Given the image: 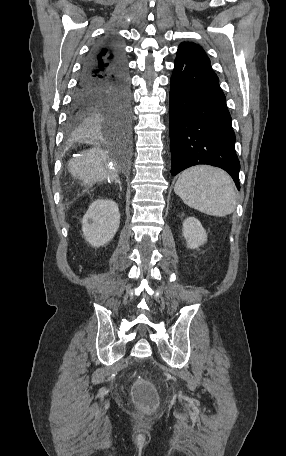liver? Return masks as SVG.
I'll use <instances>...</instances> for the list:
<instances>
[{"mask_svg":"<svg viewBox=\"0 0 286 456\" xmlns=\"http://www.w3.org/2000/svg\"><path fill=\"white\" fill-rule=\"evenodd\" d=\"M68 168L73 177L82 181L81 185L84 186H92L105 178L118 179L117 166L110 165L108 154L99 148L90 149L82 157L69 161Z\"/></svg>","mask_w":286,"mask_h":456,"instance_id":"6515ba94","label":"liver"}]
</instances>
